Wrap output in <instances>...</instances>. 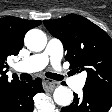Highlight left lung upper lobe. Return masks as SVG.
Wrapping results in <instances>:
<instances>
[{
  "label": "left lung upper lobe",
  "instance_id": "left-lung-upper-lobe-1",
  "mask_svg": "<svg viewBox=\"0 0 112 112\" xmlns=\"http://www.w3.org/2000/svg\"><path fill=\"white\" fill-rule=\"evenodd\" d=\"M43 23L63 43L70 68L87 72L85 87L112 91V39L104 30L76 14Z\"/></svg>",
  "mask_w": 112,
  "mask_h": 112
}]
</instances>
